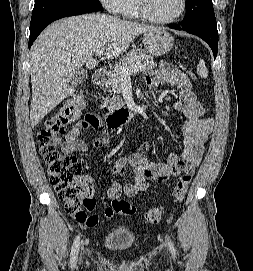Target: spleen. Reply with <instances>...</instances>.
<instances>
[{"label":"spleen","instance_id":"1","mask_svg":"<svg viewBox=\"0 0 253 271\" xmlns=\"http://www.w3.org/2000/svg\"><path fill=\"white\" fill-rule=\"evenodd\" d=\"M197 73L199 76L203 78H207L208 76V70L206 68L204 60H201L197 66Z\"/></svg>","mask_w":253,"mask_h":271}]
</instances>
